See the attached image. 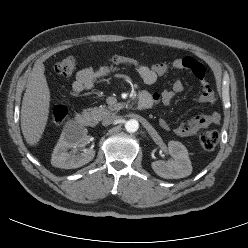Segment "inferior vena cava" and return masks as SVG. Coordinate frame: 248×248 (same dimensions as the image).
I'll list each match as a JSON object with an SVG mask.
<instances>
[{"mask_svg": "<svg viewBox=\"0 0 248 248\" xmlns=\"http://www.w3.org/2000/svg\"><path fill=\"white\" fill-rule=\"evenodd\" d=\"M117 120H119V116L117 115H109V116H106L103 121H102V125L103 126H108L114 122H116Z\"/></svg>", "mask_w": 248, "mask_h": 248, "instance_id": "1", "label": "inferior vena cava"}]
</instances>
